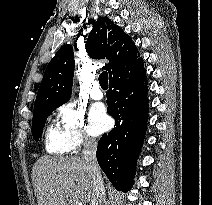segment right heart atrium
<instances>
[{
    "label": "right heart atrium",
    "mask_w": 212,
    "mask_h": 205,
    "mask_svg": "<svg viewBox=\"0 0 212 205\" xmlns=\"http://www.w3.org/2000/svg\"><path fill=\"white\" fill-rule=\"evenodd\" d=\"M60 131L72 151L79 150L82 146L95 143L87 126L85 112L72 103H66L58 109Z\"/></svg>",
    "instance_id": "right-heart-atrium-1"
}]
</instances>
